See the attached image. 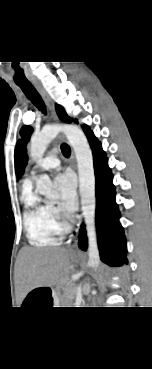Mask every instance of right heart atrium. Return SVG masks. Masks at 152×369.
Here are the masks:
<instances>
[{"label": "right heart atrium", "instance_id": "obj_1", "mask_svg": "<svg viewBox=\"0 0 152 369\" xmlns=\"http://www.w3.org/2000/svg\"><path fill=\"white\" fill-rule=\"evenodd\" d=\"M51 213H52L54 221L58 224L57 222V219L59 217L58 211L54 207H51Z\"/></svg>", "mask_w": 152, "mask_h": 369}]
</instances>
